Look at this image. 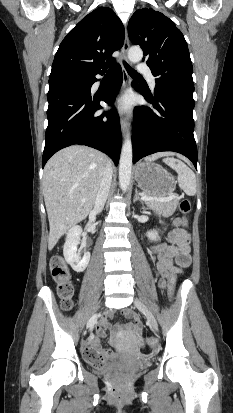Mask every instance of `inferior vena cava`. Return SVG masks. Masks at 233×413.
<instances>
[{
    "mask_svg": "<svg viewBox=\"0 0 233 413\" xmlns=\"http://www.w3.org/2000/svg\"><path fill=\"white\" fill-rule=\"evenodd\" d=\"M112 174H113V170H112L111 162L107 160V164L103 171L99 190L97 192L95 203H94V209H93L94 213H100L104 208L105 202L107 200V197L110 191Z\"/></svg>",
    "mask_w": 233,
    "mask_h": 413,
    "instance_id": "obj_1",
    "label": "inferior vena cava"
}]
</instances>
